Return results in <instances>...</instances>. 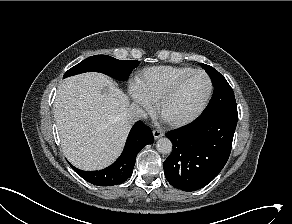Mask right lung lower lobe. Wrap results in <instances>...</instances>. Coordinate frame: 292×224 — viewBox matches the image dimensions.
Wrapping results in <instances>:
<instances>
[{
    "instance_id": "98d812e1",
    "label": "right lung lower lobe",
    "mask_w": 292,
    "mask_h": 224,
    "mask_svg": "<svg viewBox=\"0 0 292 224\" xmlns=\"http://www.w3.org/2000/svg\"><path fill=\"white\" fill-rule=\"evenodd\" d=\"M154 141L149 127L138 121L132 127L121 156L109 167L99 171H83L70 164L86 181L98 186H113L126 181L133 172L138 152Z\"/></svg>"
}]
</instances>
